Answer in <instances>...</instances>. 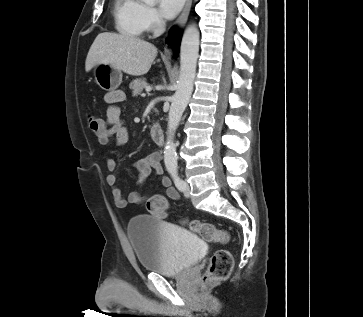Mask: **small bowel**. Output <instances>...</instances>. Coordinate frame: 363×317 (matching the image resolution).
Listing matches in <instances>:
<instances>
[{
    "label": "small bowel",
    "mask_w": 363,
    "mask_h": 317,
    "mask_svg": "<svg viewBox=\"0 0 363 317\" xmlns=\"http://www.w3.org/2000/svg\"><path fill=\"white\" fill-rule=\"evenodd\" d=\"M125 94L121 90H113L105 95V101L109 104L104 122V131L97 135L98 142L101 145H107L111 139H114L118 146L125 145L130 140V133L120 119V109L118 103L124 101ZM160 154L152 151L149 154L135 160L132 163L133 168L138 171V182L143 184L151 173L161 176V184L166 189V197L177 200L180 197L179 192L171 186V181L163 175V168L160 163ZM107 169L110 173L106 177L108 185L112 188V196L115 205L118 208H125L128 204H141L152 198H161L166 202V197L159 194H144L132 192L125 197L122 191L117 187V175L114 171L117 168V161L113 158L107 159Z\"/></svg>",
    "instance_id": "obj_1"
}]
</instances>
